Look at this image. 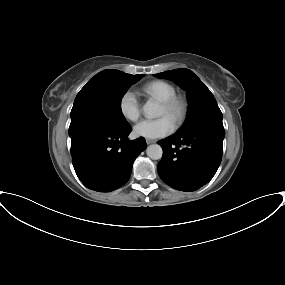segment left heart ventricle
Returning <instances> with one entry per match:
<instances>
[{
  "instance_id": "obj_1",
  "label": "left heart ventricle",
  "mask_w": 285,
  "mask_h": 285,
  "mask_svg": "<svg viewBox=\"0 0 285 285\" xmlns=\"http://www.w3.org/2000/svg\"><path fill=\"white\" fill-rule=\"evenodd\" d=\"M159 115L160 116L166 115L169 118H171L172 120H174L173 115L170 112H168L162 105L160 106Z\"/></svg>"
}]
</instances>
